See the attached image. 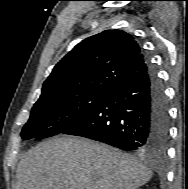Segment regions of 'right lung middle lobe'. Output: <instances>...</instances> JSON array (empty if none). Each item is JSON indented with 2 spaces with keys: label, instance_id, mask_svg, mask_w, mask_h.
I'll use <instances>...</instances> for the list:
<instances>
[{
  "label": "right lung middle lobe",
  "instance_id": "1",
  "mask_svg": "<svg viewBox=\"0 0 188 189\" xmlns=\"http://www.w3.org/2000/svg\"><path fill=\"white\" fill-rule=\"evenodd\" d=\"M111 91L93 88L40 97L31 110L21 137L40 139L64 132L86 117Z\"/></svg>",
  "mask_w": 188,
  "mask_h": 189
}]
</instances>
